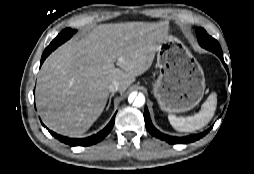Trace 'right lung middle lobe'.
Masks as SVG:
<instances>
[{"label":"right lung middle lobe","mask_w":254,"mask_h":174,"mask_svg":"<svg viewBox=\"0 0 254 174\" xmlns=\"http://www.w3.org/2000/svg\"><path fill=\"white\" fill-rule=\"evenodd\" d=\"M74 33H75V30H72L71 28H67V29L63 30L59 35L71 37Z\"/></svg>","instance_id":"1"}]
</instances>
